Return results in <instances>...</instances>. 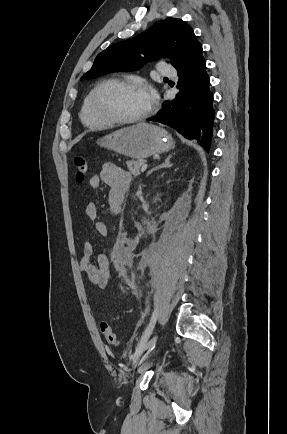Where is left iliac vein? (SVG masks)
Returning a JSON list of instances; mask_svg holds the SVG:
<instances>
[{"mask_svg":"<svg viewBox=\"0 0 287 434\" xmlns=\"http://www.w3.org/2000/svg\"><path fill=\"white\" fill-rule=\"evenodd\" d=\"M158 339V334L155 333L149 340L146 341L141 352L136 356L134 360L145 359L148 353L154 348ZM147 369V363H144L139 368V372H144Z\"/></svg>","mask_w":287,"mask_h":434,"instance_id":"left-iliac-vein-1","label":"left iliac vein"}]
</instances>
